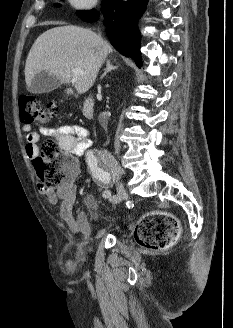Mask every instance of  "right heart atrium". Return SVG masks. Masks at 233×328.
<instances>
[{"label": "right heart atrium", "mask_w": 233, "mask_h": 328, "mask_svg": "<svg viewBox=\"0 0 233 328\" xmlns=\"http://www.w3.org/2000/svg\"><path fill=\"white\" fill-rule=\"evenodd\" d=\"M71 6L77 10L88 11L96 7L99 0H68Z\"/></svg>", "instance_id": "d8ad5b80"}]
</instances>
